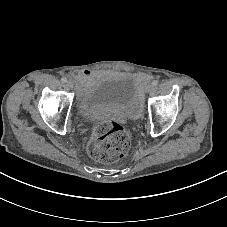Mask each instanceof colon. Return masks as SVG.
<instances>
[{
    "instance_id": "colon-1",
    "label": "colon",
    "mask_w": 227,
    "mask_h": 227,
    "mask_svg": "<svg viewBox=\"0 0 227 227\" xmlns=\"http://www.w3.org/2000/svg\"><path fill=\"white\" fill-rule=\"evenodd\" d=\"M130 146V136L123 126L103 122L90 134L87 149L96 161L111 163L122 158Z\"/></svg>"
}]
</instances>
